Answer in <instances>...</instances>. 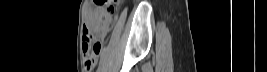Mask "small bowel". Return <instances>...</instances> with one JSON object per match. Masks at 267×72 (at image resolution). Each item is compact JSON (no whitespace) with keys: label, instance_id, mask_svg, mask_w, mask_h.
Segmentation results:
<instances>
[{"label":"small bowel","instance_id":"c3829d8e","mask_svg":"<svg viewBox=\"0 0 267 72\" xmlns=\"http://www.w3.org/2000/svg\"><path fill=\"white\" fill-rule=\"evenodd\" d=\"M90 31V27H87L86 29H85V35H84V37L85 36H87L88 35V32ZM107 33V30L105 29V30H103L102 32H101V34L102 35H105ZM84 41H83V44H82V49L84 48ZM101 51H102V44H101V49H100V52H99V54H98V56H97V60H98V58H99V55H100V53H101ZM85 57H84V55H83V59H84ZM94 67L93 66H85V69H86V71H91L92 69H93Z\"/></svg>","mask_w":267,"mask_h":72}]
</instances>
